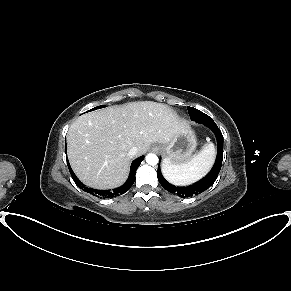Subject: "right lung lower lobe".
<instances>
[{
    "mask_svg": "<svg viewBox=\"0 0 291 291\" xmlns=\"http://www.w3.org/2000/svg\"><path fill=\"white\" fill-rule=\"evenodd\" d=\"M67 157V155H66ZM144 159V156L136 159L133 161L132 165H131V169H130V173H129V177L126 180V182L118 187L115 188L113 190H96L93 188H89L87 186H85L74 174V172L72 171L69 162L67 161V165L70 171V174L74 180V182L85 192L90 193L92 195H96L97 197L100 198H114L117 197L121 194H124L126 191H128L130 189V187L133 185L134 181H135V173L137 168L140 166L141 161Z\"/></svg>",
    "mask_w": 291,
    "mask_h": 291,
    "instance_id": "98d812e1",
    "label": "right lung lower lobe"
}]
</instances>
